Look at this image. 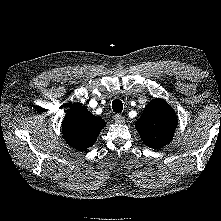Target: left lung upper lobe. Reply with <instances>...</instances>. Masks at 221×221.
I'll return each instance as SVG.
<instances>
[{
    "mask_svg": "<svg viewBox=\"0 0 221 221\" xmlns=\"http://www.w3.org/2000/svg\"><path fill=\"white\" fill-rule=\"evenodd\" d=\"M176 125L175 111L163 99H154L145 107L136 129L145 145L159 149L171 142Z\"/></svg>",
    "mask_w": 221,
    "mask_h": 221,
    "instance_id": "obj_1",
    "label": "left lung upper lobe"
}]
</instances>
